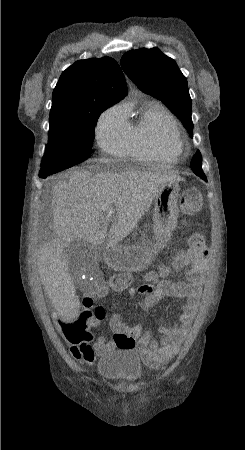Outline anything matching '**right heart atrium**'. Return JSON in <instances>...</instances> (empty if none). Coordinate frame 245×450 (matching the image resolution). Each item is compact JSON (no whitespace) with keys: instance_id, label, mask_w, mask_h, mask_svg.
I'll return each mask as SVG.
<instances>
[{"instance_id":"right-heart-atrium-1","label":"right heart atrium","mask_w":245,"mask_h":450,"mask_svg":"<svg viewBox=\"0 0 245 450\" xmlns=\"http://www.w3.org/2000/svg\"><path fill=\"white\" fill-rule=\"evenodd\" d=\"M96 140L101 149L113 157L128 152V123L125 109L115 105L101 114L95 127Z\"/></svg>"}]
</instances>
